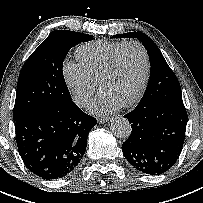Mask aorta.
I'll use <instances>...</instances> for the list:
<instances>
[{
    "instance_id": "1",
    "label": "aorta",
    "mask_w": 203,
    "mask_h": 203,
    "mask_svg": "<svg viewBox=\"0 0 203 203\" xmlns=\"http://www.w3.org/2000/svg\"><path fill=\"white\" fill-rule=\"evenodd\" d=\"M112 133L120 139H127L132 132L130 122L124 117H117L111 122Z\"/></svg>"
}]
</instances>
